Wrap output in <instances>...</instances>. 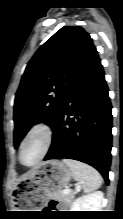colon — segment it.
Instances as JSON below:
<instances>
[{
  "label": "colon",
  "mask_w": 123,
  "mask_h": 219,
  "mask_svg": "<svg viewBox=\"0 0 123 219\" xmlns=\"http://www.w3.org/2000/svg\"><path fill=\"white\" fill-rule=\"evenodd\" d=\"M51 206H52V207H55V206H56V202H52V203H51Z\"/></svg>",
  "instance_id": "1"
}]
</instances>
